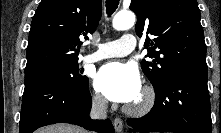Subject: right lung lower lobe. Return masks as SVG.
<instances>
[{
  "label": "right lung lower lobe",
  "instance_id": "obj_1",
  "mask_svg": "<svg viewBox=\"0 0 221 133\" xmlns=\"http://www.w3.org/2000/svg\"><path fill=\"white\" fill-rule=\"evenodd\" d=\"M91 106L88 82L73 86L53 74H27L20 133H32L39 127L54 123H71L102 133H114L109 119L96 121L89 118Z\"/></svg>",
  "mask_w": 221,
  "mask_h": 133
}]
</instances>
